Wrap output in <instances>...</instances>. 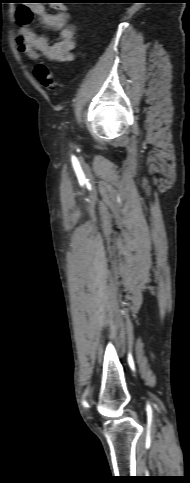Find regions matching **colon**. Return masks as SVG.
Here are the masks:
<instances>
[{
  "label": "colon",
  "instance_id": "1",
  "mask_svg": "<svg viewBox=\"0 0 190 483\" xmlns=\"http://www.w3.org/2000/svg\"><path fill=\"white\" fill-rule=\"evenodd\" d=\"M32 74L47 90L55 93L61 90V81L43 63L35 64L32 68Z\"/></svg>",
  "mask_w": 190,
  "mask_h": 483
}]
</instances>
